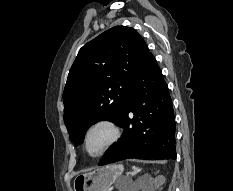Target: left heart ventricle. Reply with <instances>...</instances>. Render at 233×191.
<instances>
[{
  "mask_svg": "<svg viewBox=\"0 0 233 191\" xmlns=\"http://www.w3.org/2000/svg\"><path fill=\"white\" fill-rule=\"evenodd\" d=\"M108 138V131L99 128L93 131L89 137L88 148L91 152H97Z\"/></svg>",
  "mask_w": 233,
  "mask_h": 191,
  "instance_id": "1",
  "label": "left heart ventricle"
}]
</instances>
